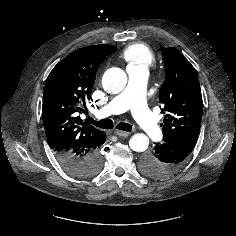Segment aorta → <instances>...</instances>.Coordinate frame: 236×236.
Returning <instances> with one entry per match:
<instances>
[{
    "mask_svg": "<svg viewBox=\"0 0 236 236\" xmlns=\"http://www.w3.org/2000/svg\"><path fill=\"white\" fill-rule=\"evenodd\" d=\"M126 84V73L117 67L106 70L102 78L104 90L111 94L120 93ZM129 146L135 152H144L149 146V138L143 133L134 134L129 141Z\"/></svg>",
    "mask_w": 236,
    "mask_h": 236,
    "instance_id": "762f6f07",
    "label": "aorta"
}]
</instances>
